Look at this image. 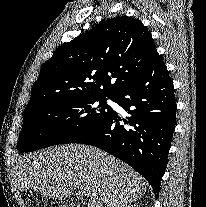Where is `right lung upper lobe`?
Segmentation results:
<instances>
[{
    "label": "right lung upper lobe",
    "mask_w": 206,
    "mask_h": 207,
    "mask_svg": "<svg viewBox=\"0 0 206 207\" xmlns=\"http://www.w3.org/2000/svg\"><path fill=\"white\" fill-rule=\"evenodd\" d=\"M158 56L140 20L121 16L103 21L55 50L41 68L25 111L51 101L114 96Z\"/></svg>",
    "instance_id": "1"
}]
</instances>
